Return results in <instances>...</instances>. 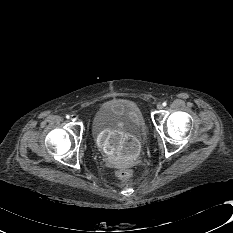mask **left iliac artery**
<instances>
[{
  "instance_id": "obj_1",
  "label": "left iliac artery",
  "mask_w": 233,
  "mask_h": 233,
  "mask_svg": "<svg viewBox=\"0 0 233 233\" xmlns=\"http://www.w3.org/2000/svg\"><path fill=\"white\" fill-rule=\"evenodd\" d=\"M162 105H163V106H166V105H167V103H166V102H163V103H162Z\"/></svg>"
}]
</instances>
